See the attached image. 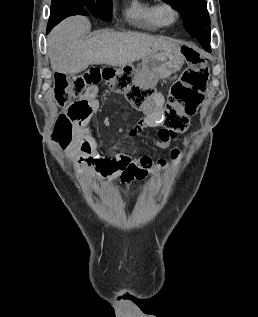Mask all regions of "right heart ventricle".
Returning <instances> with one entry per match:
<instances>
[{
    "instance_id": "1",
    "label": "right heart ventricle",
    "mask_w": 258,
    "mask_h": 317,
    "mask_svg": "<svg viewBox=\"0 0 258 317\" xmlns=\"http://www.w3.org/2000/svg\"><path fill=\"white\" fill-rule=\"evenodd\" d=\"M158 7L159 3L154 0L132 1L125 11V16L145 29L154 31L162 25L157 17Z\"/></svg>"
}]
</instances>
